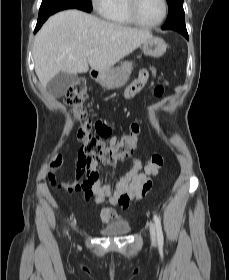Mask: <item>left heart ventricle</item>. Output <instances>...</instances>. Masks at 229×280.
<instances>
[{"label": "left heart ventricle", "mask_w": 229, "mask_h": 280, "mask_svg": "<svg viewBox=\"0 0 229 280\" xmlns=\"http://www.w3.org/2000/svg\"><path fill=\"white\" fill-rule=\"evenodd\" d=\"M136 10L142 21L153 23L161 17L163 6L161 0H137Z\"/></svg>", "instance_id": "obj_1"}]
</instances>
